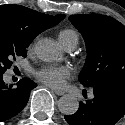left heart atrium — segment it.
Returning <instances> with one entry per match:
<instances>
[{
  "label": "left heart atrium",
  "mask_w": 125,
  "mask_h": 125,
  "mask_svg": "<svg viewBox=\"0 0 125 125\" xmlns=\"http://www.w3.org/2000/svg\"><path fill=\"white\" fill-rule=\"evenodd\" d=\"M70 75L71 69L68 66L55 64L44 65L35 72L38 80L55 88L63 86Z\"/></svg>",
  "instance_id": "left-heart-atrium-1"
}]
</instances>
